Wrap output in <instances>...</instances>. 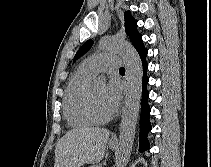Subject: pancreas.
Returning a JSON list of instances; mask_svg holds the SVG:
<instances>
[{"instance_id": "obj_1", "label": "pancreas", "mask_w": 211, "mask_h": 167, "mask_svg": "<svg viewBox=\"0 0 211 167\" xmlns=\"http://www.w3.org/2000/svg\"><path fill=\"white\" fill-rule=\"evenodd\" d=\"M91 167H102V165L101 164H99V165H93Z\"/></svg>"}]
</instances>
